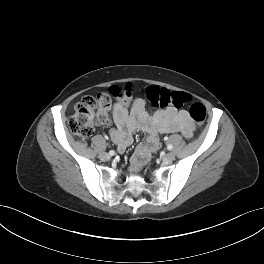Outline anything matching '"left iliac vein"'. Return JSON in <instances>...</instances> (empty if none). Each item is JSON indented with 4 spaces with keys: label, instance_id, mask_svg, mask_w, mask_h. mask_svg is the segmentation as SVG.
Returning <instances> with one entry per match:
<instances>
[{
    "label": "left iliac vein",
    "instance_id": "4c4485c4",
    "mask_svg": "<svg viewBox=\"0 0 264 264\" xmlns=\"http://www.w3.org/2000/svg\"><path fill=\"white\" fill-rule=\"evenodd\" d=\"M175 159V154L173 152H168L167 154H165V156L163 157V161L166 163H170Z\"/></svg>",
    "mask_w": 264,
    "mask_h": 264
}]
</instances>
